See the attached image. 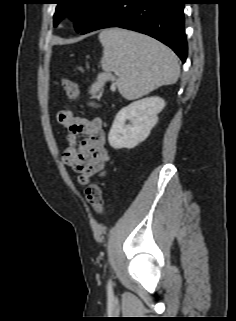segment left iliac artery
I'll list each match as a JSON object with an SVG mask.
<instances>
[{
  "mask_svg": "<svg viewBox=\"0 0 236 321\" xmlns=\"http://www.w3.org/2000/svg\"><path fill=\"white\" fill-rule=\"evenodd\" d=\"M108 285H109V286L111 285V281L108 282Z\"/></svg>",
  "mask_w": 236,
  "mask_h": 321,
  "instance_id": "left-iliac-artery-1",
  "label": "left iliac artery"
}]
</instances>
